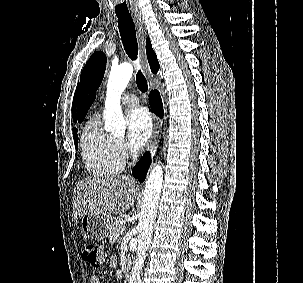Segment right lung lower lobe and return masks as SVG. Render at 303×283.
<instances>
[{"label":"right lung lower lobe","instance_id":"obj_1","mask_svg":"<svg viewBox=\"0 0 303 283\" xmlns=\"http://www.w3.org/2000/svg\"><path fill=\"white\" fill-rule=\"evenodd\" d=\"M149 103L152 111L160 118L163 117V104L161 101L160 94L157 90H152L149 95ZM150 154L145 153L141 160L136 164L132 170L133 176L140 182H143L147 173V169L150 166Z\"/></svg>","mask_w":303,"mask_h":283}]
</instances>
